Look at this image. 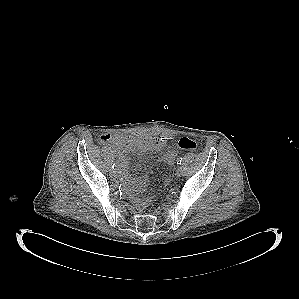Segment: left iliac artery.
Segmentation results:
<instances>
[{
    "mask_svg": "<svg viewBox=\"0 0 299 299\" xmlns=\"http://www.w3.org/2000/svg\"><path fill=\"white\" fill-rule=\"evenodd\" d=\"M182 163V158H178L177 159V164H181Z\"/></svg>",
    "mask_w": 299,
    "mask_h": 299,
    "instance_id": "obj_1",
    "label": "left iliac artery"
}]
</instances>
